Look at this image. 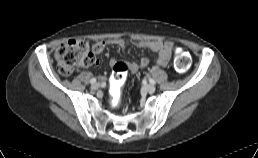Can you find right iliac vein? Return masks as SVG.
I'll return each instance as SVG.
<instances>
[{
    "mask_svg": "<svg viewBox=\"0 0 258 158\" xmlns=\"http://www.w3.org/2000/svg\"><path fill=\"white\" fill-rule=\"evenodd\" d=\"M100 87L99 83H94L91 85L92 90H97Z\"/></svg>",
    "mask_w": 258,
    "mask_h": 158,
    "instance_id": "1",
    "label": "right iliac vein"
}]
</instances>
